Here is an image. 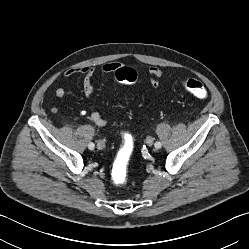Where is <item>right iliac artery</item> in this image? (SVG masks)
<instances>
[{
    "label": "right iliac artery",
    "mask_w": 249,
    "mask_h": 249,
    "mask_svg": "<svg viewBox=\"0 0 249 249\" xmlns=\"http://www.w3.org/2000/svg\"><path fill=\"white\" fill-rule=\"evenodd\" d=\"M94 147H95L94 143L91 142V143L88 144V148H89L90 150H93Z\"/></svg>",
    "instance_id": "82829eb1"
}]
</instances>
